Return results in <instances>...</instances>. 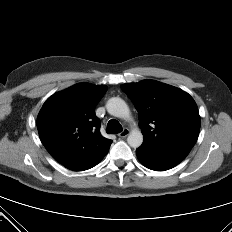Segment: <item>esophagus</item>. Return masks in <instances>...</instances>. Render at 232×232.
<instances>
[{"mask_svg":"<svg viewBox=\"0 0 232 232\" xmlns=\"http://www.w3.org/2000/svg\"><path fill=\"white\" fill-rule=\"evenodd\" d=\"M128 134H129V129L124 128L123 131L118 134V136L121 138H125Z\"/></svg>","mask_w":232,"mask_h":232,"instance_id":"1","label":"esophagus"}]
</instances>
